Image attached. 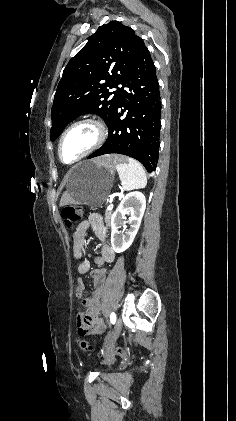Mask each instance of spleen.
<instances>
[{
    "label": "spleen",
    "mask_w": 236,
    "mask_h": 421,
    "mask_svg": "<svg viewBox=\"0 0 236 421\" xmlns=\"http://www.w3.org/2000/svg\"><path fill=\"white\" fill-rule=\"evenodd\" d=\"M115 168L124 190H134V188H144L146 186V172L138 160H134V158L120 160V162H116Z\"/></svg>",
    "instance_id": "obj_1"
}]
</instances>
